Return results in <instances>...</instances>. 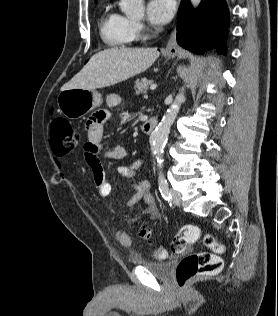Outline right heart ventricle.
Returning a JSON list of instances; mask_svg holds the SVG:
<instances>
[{
	"instance_id": "e07e8e85",
	"label": "right heart ventricle",
	"mask_w": 278,
	"mask_h": 316,
	"mask_svg": "<svg viewBox=\"0 0 278 316\" xmlns=\"http://www.w3.org/2000/svg\"><path fill=\"white\" fill-rule=\"evenodd\" d=\"M99 29L102 40L108 46H126L133 40L129 30V19L117 12L111 3L103 6Z\"/></svg>"
}]
</instances>
